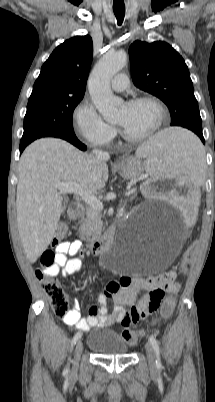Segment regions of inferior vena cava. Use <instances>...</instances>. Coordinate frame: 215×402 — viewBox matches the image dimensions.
Returning <instances> with one entry per match:
<instances>
[{
	"instance_id": "inferior-vena-cava-1",
	"label": "inferior vena cava",
	"mask_w": 215,
	"mask_h": 402,
	"mask_svg": "<svg viewBox=\"0 0 215 402\" xmlns=\"http://www.w3.org/2000/svg\"><path fill=\"white\" fill-rule=\"evenodd\" d=\"M93 154L95 157L100 160V161H106L110 158L109 154L107 152L101 151V150H93Z\"/></svg>"
}]
</instances>
